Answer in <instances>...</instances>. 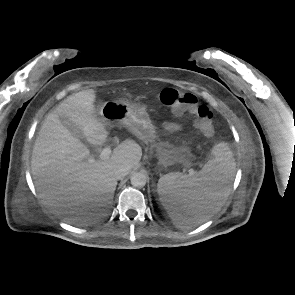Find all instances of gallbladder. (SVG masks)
Here are the masks:
<instances>
[{
  "instance_id": "obj_1",
  "label": "gallbladder",
  "mask_w": 295,
  "mask_h": 295,
  "mask_svg": "<svg viewBox=\"0 0 295 295\" xmlns=\"http://www.w3.org/2000/svg\"><path fill=\"white\" fill-rule=\"evenodd\" d=\"M60 121L63 126L66 127L73 135L77 137L81 136L80 132L75 129L74 126L65 117H60Z\"/></svg>"
}]
</instances>
